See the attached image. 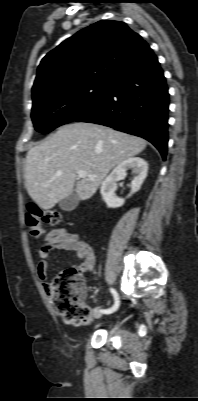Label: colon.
I'll list each match as a JSON object with an SVG mask.
<instances>
[{
	"instance_id": "obj_1",
	"label": "colon",
	"mask_w": 198,
	"mask_h": 401,
	"mask_svg": "<svg viewBox=\"0 0 198 401\" xmlns=\"http://www.w3.org/2000/svg\"><path fill=\"white\" fill-rule=\"evenodd\" d=\"M63 220L57 211L43 210L35 204H29L25 214V223L32 237H40L44 229L42 224L56 226ZM53 304L65 323L85 325L91 320V312L84 305L85 287L83 271L70 267L62 271L49 286Z\"/></svg>"
}]
</instances>
